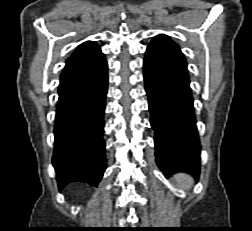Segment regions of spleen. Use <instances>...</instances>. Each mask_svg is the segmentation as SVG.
<instances>
[{
  "instance_id": "obj_1",
  "label": "spleen",
  "mask_w": 252,
  "mask_h": 231,
  "mask_svg": "<svg viewBox=\"0 0 252 231\" xmlns=\"http://www.w3.org/2000/svg\"><path fill=\"white\" fill-rule=\"evenodd\" d=\"M176 181L183 188H190L193 184V179L190 175L179 173L176 175Z\"/></svg>"
}]
</instances>
